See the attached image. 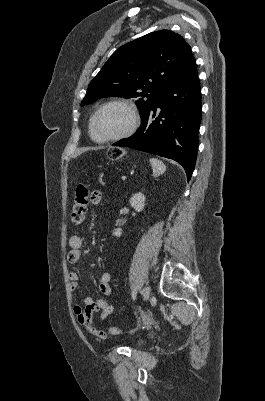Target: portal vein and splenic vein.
<instances>
[{
  "instance_id": "obj_1",
  "label": "portal vein and splenic vein",
  "mask_w": 265,
  "mask_h": 401,
  "mask_svg": "<svg viewBox=\"0 0 265 401\" xmlns=\"http://www.w3.org/2000/svg\"><path fill=\"white\" fill-rule=\"evenodd\" d=\"M120 178H121L123 181H126V180H127V177H126L124 174H121V175H120Z\"/></svg>"
}]
</instances>
